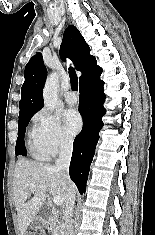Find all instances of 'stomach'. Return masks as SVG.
<instances>
[{"label": "stomach", "mask_w": 155, "mask_h": 235, "mask_svg": "<svg viewBox=\"0 0 155 235\" xmlns=\"http://www.w3.org/2000/svg\"><path fill=\"white\" fill-rule=\"evenodd\" d=\"M46 225V221L42 216H36L32 221L30 227L32 230L37 231L43 228Z\"/></svg>", "instance_id": "1"}]
</instances>
